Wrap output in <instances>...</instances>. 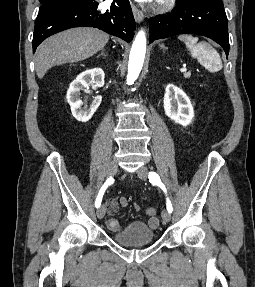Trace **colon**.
I'll return each instance as SVG.
<instances>
[{
	"label": "colon",
	"instance_id": "5ec220e1",
	"mask_svg": "<svg viewBox=\"0 0 255 287\" xmlns=\"http://www.w3.org/2000/svg\"><path fill=\"white\" fill-rule=\"evenodd\" d=\"M146 213L150 216V217H157V210L153 207H148L146 208Z\"/></svg>",
	"mask_w": 255,
	"mask_h": 287
}]
</instances>
